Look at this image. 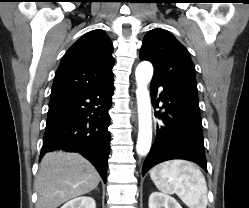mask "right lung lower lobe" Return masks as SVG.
Segmentation results:
<instances>
[{
    "label": "right lung lower lobe",
    "instance_id": "right-lung-lower-lobe-1",
    "mask_svg": "<svg viewBox=\"0 0 249 208\" xmlns=\"http://www.w3.org/2000/svg\"><path fill=\"white\" fill-rule=\"evenodd\" d=\"M113 90L111 79L90 90L51 98L40 159L57 149L80 153L106 182Z\"/></svg>",
    "mask_w": 249,
    "mask_h": 208
}]
</instances>
